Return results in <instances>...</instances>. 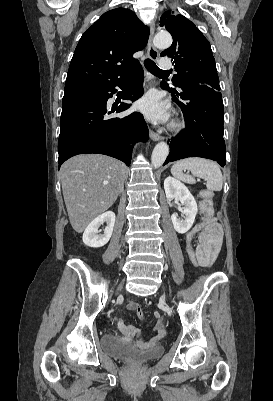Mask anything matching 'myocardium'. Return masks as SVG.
I'll use <instances>...</instances> for the list:
<instances>
[{
  "label": "myocardium",
  "instance_id": "1",
  "mask_svg": "<svg viewBox=\"0 0 273 401\" xmlns=\"http://www.w3.org/2000/svg\"><path fill=\"white\" fill-rule=\"evenodd\" d=\"M185 127H186V124L182 120L175 121L171 126L172 130L175 132H180V131L184 130Z\"/></svg>",
  "mask_w": 273,
  "mask_h": 401
}]
</instances>
